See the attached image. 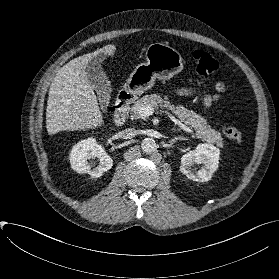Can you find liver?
Segmentation results:
<instances>
[{
	"instance_id": "1",
	"label": "liver",
	"mask_w": 279,
	"mask_h": 279,
	"mask_svg": "<svg viewBox=\"0 0 279 279\" xmlns=\"http://www.w3.org/2000/svg\"><path fill=\"white\" fill-rule=\"evenodd\" d=\"M116 45H106L65 64L53 79L46 108L49 135L60 131L88 130L104 124L97 97L86 75L89 61L96 55H114Z\"/></svg>"
}]
</instances>
